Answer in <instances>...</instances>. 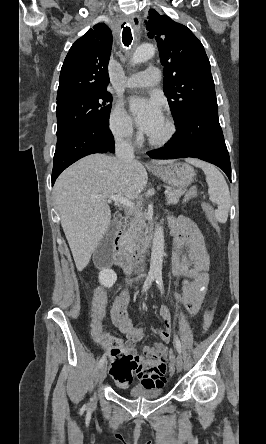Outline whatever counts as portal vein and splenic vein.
Segmentation results:
<instances>
[{"label": "portal vein and splenic vein", "mask_w": 266, "mask_h": 444, "mask_svg": "<svg viewBox=\"0 0 266 444\" xmlns=\"http://www.w3.org/2000/svg\"><path fill=\"white\" fill-rule=\"evenodd\" d=\"M168 194H169V191H165V196H167ZM98 198H105L108 201H114L115 203H119L121 205H124L131 210H134L136 208L135 204L131 200L123 197L121 194H116V195H112V196H98Z\"/></svg>", "instance_id": "portal-vein-and-splenic-vein-1"}]
</instances>
